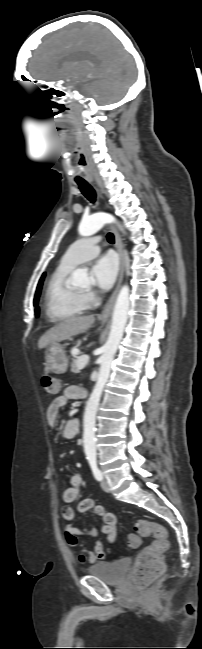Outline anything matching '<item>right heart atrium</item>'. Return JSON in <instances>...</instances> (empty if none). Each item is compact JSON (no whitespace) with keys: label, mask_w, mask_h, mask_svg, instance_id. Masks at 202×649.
<instances>
[{"label":"right heart atrium","mask_w":202,"mask_h":649,"mask_svg":"<svg viewBox=\"0 0 202 649\" xmlns=\"http://www.w3.org/2000/svg\"><path fill=\"white\" fill-rule=\"evenodd\" d=\"M83 297L86 303H92L96 300V296L93 292H86L83 294Z\"/></svg>","instance_id":"1"}]
</instances>
